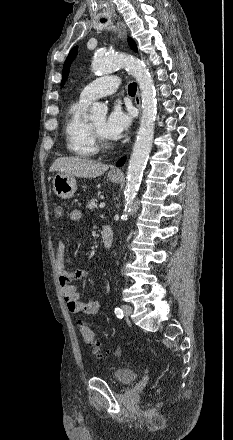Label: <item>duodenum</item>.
I'll return each instance as SVG.
<instances>
[{
    "instance_id": "duodenum-1",
    "label": "duodenum",
    "mask_w": 233,
    "mask_h": 440,
    "mask_svg": "<svg viewBox=\"0 0 233 440\" xmlns=\"http://www.w3.org/2000/svg\"><path fill=\"white\" fill-rule=\"evenodd\" d=\"M113 237L114 234L112 227L108 224L103 225L101 229V238L104 247L109 248L112 245Z\"/></svg>"
}]
</instances>
